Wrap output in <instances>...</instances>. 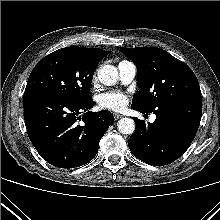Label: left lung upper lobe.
I'll list each match as a JSON object with an SVG mask.
<instances>
[{
  "instance_id": "left-lung-upper-lobe-1",
  "label": "left lung upper lobe",
  "mask_w": 220,
  "mask_h": 220,
  "mask_svg": "<svg viewBox=\"0 0 220 220\" xmlns=\"http://www.w3.org/2000/svg\"><path fill=\"white\" fill-rule=\"evenodd\" d=\"M137 67V86L132 107L151 113L164 103L187 96H201L193 71L168 52L155 47L121 48Z\"/></svg>"
}]
</instances>
